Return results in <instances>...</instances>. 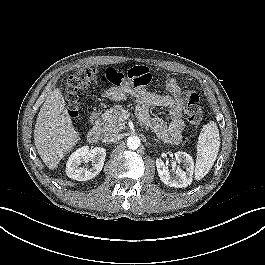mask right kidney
<instances>
[{
    "mask_svg": "<svg viewBox=\"0 0 265 265\" xmlns=\"http://www.w3.org/2000/svg\"><path fill=\"white\" fill-rule=\"evenodd\" d=\"M106 157V149L95 147L89 150L83 146L73 152L66 164V174L69 178L77 181H87L96 177L102 170ZM92 161V168H84L82 163Z\"/></svg>",
    "mask_w": 265,
    "mask_h": 265,
    "instance_id": "1",
    "label": "right kidney"
}]
</instances>
